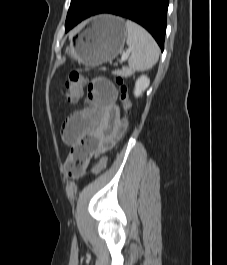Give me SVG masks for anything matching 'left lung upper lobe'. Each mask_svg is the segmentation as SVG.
I'll list each match as a JSON object with an SVG mask.
<instances>
[{
    "label": "left lung upper lobe",
    "instance_id": "5c2ea615",
    "mask_svg": "<svg viewBox=\"0 0 227 265\" xmlns=\"http://www.w3.org/2000/svg\"><path fill=\"white\" fill-rule=\"evenodd\" d=\"M105 0H71L65 28L69 30L88 18Z\"/></svg>",
    "mask_w": 227,
    "mask_h": 265
}]
</instances>
